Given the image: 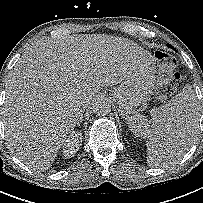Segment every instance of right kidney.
<instances>
[{"label":"right kidney","mask_w":203,"mask_h":203,"mask_svg":"<svg viewBox=\"0 0 203 203\" xmlns=\"http://www.w3.org/2000/svg\"><path fill=\"white\" fill-rule=\"evenodd\" d=\"M82 143L81 132H73L63 145V153L66 157H72L79 150Z\"/></svg>","instance_id":"obj_1"}]
</instances>
